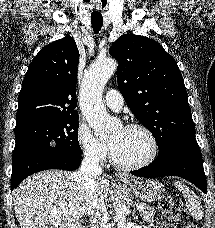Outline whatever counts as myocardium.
I'll return each instance as SVG.
<instances>
[{
  "mask_svg": "<svg viewBox=\"0 0 215 228\" xmlns=\"http://www.w3.org/2000/svg\"><path fill=\"white\" fill-rule=\"evenodd\" d=\"M124 129H127V130L139 129V130L143 131L144 134L146 135V137L148 139V143H149L148 152H147L146 156L143 159H141L140 161H138L136 163H132V164H124L115 159L113 152H112V148L110 146L111 163L113 164L114 167H116L119 170H123V171H134V170L147 166L149 163H151L154 160V158L156 157L157 151H158V144H157V140H156V137H155L153 131L145 124H142L139 122L129 123L124 127Z\"/></svg>",
  "mask_w": 215,
  "mask_h": 228,
  "instance_id": "myocardium-1",
  "label": "myocardium"
}]
</instances>
